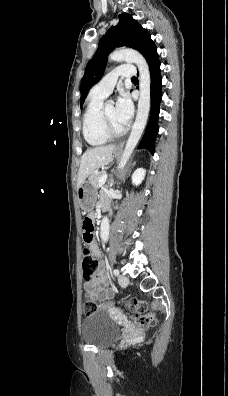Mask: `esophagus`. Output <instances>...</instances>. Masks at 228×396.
I'll return each instance as SVG.
<instances>
[{
	"label": "esophagus",
	"mask_w": 228,
	"mask_h": 396,
	"mask_svg": "<svg viewBox=\"0 0 228 396\" xmlns=\"http://www.w3.org/2000/svg\"><path fill=\"white\" fill-rule=\"evenodd\" d=\"M124 146V142L120 143L118 147L122 148Z\"/></svg>",
	"instance_id": "34e87169"
}]
</instances>
